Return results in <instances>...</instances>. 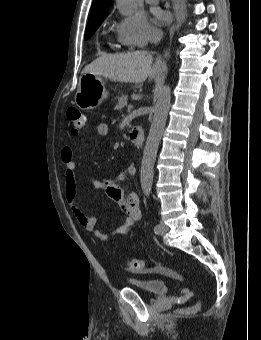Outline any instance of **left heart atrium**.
Masks as SVG:
<instances>
[{
    "instance_id": "39dd6f15",
    "label": "left heart atrium",
    "mask_w": 261,
    "mask_h": 340,
    "mask_svg": "<svg viewBox=\"0 0 261 340\" xmlns=\"http://www.w3.org/2000/svg\"><path fill=\"white\" fill-rule=\"evenodd\" d=\"M155 18H156V21L159 23H162L166 20L165 14L159 11L155 13Z\"/></svg>"
}]
</instances>
